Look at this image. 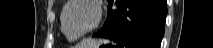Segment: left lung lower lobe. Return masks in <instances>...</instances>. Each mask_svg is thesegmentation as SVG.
Segmentation results:
<instances>
[{"mask_svg": "<svg viewBox=\"0 0 213 48\" xmlns=\"http://www.w3.org/2000/svg\"><path fill=\"white\" fill-rule=\"evenodd\" d=\"M166 12V0H109L105 24L94 36L118 48H159Z\"/></svg>", "mask_w": 213, "mask_h": 48, "instance_id": "left-lung-lower-lobe-1", "label": "left lung lower lobe"}]
</instances>
